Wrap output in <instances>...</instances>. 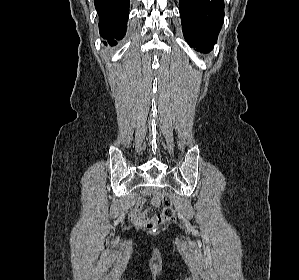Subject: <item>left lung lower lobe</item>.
<instances>
[{
	"label": "left lung lower lobe",
	"instance_id": "obj_1",
	"mask_svg": "<svg viewBox=\"0 0 299 280\" xmlns=\"http://www.w3.org/2000/svg\"><path fill=\"white\" fill-rule=\"evenodd\" d=\"M184 37L190 47L211 51L224 19V0H179Z\"/></svg>",
	"mask_w": 299,
	"mask_h": 280
}]
</instances>
